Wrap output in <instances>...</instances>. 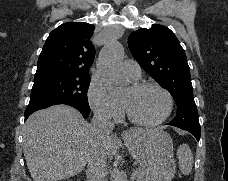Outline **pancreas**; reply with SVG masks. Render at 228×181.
Masks as SVG:
<instances>
[{
	"mask_svg": "<svg viewBox=\"0 0 228 181\" xmlns=\"http://www.w3.org/2000/svg\"><path fill=\"white\" fill-rule=\"evenodd\" d=\"M143 175H145L144 169H138V172L136 173L135 177H138V181H142Z\"/></svg>",
	"mask_w": 228,
	"mask_h": 181,
	"instance_id": "cf45deb5",
	"label": "pancreas"
}]
</instances>
